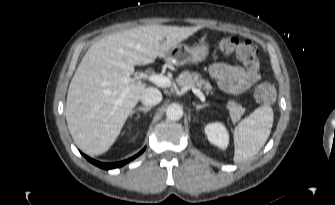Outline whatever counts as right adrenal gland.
<instances>
[{
    "instance_id": "right-adrenal-gland-1",
    "label": "right adrenal gland",
    "mask_w": 335,
    "mask_h": 205,
    "mask_svg": "<svg viewBox=\"0 0 335 205\" xmlns=\"http://www.w3.org/2000/svg\"><path fill=\"white\" fill-rule=\"evenodd\" d=\"M151 110V107H139V108H137V109H135V110H133L132 112H131V117H132V115L134 114V113H136V112H143L144 114H146L148 111H150Z\"/></svg>"
}]
</instances>
